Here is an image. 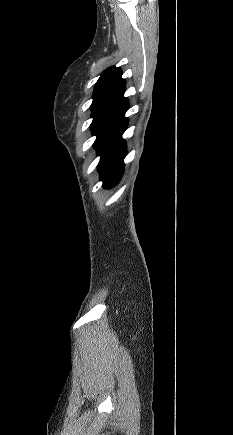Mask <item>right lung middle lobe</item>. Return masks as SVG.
Returning a JSON list of instances; mask_svg holds the SVG:
<instances>
[{
    "mask_svg": "<svg viewBox=\"0 0 233 435\" xmlns=\"http://www.w3.org/2000/svg\"><path fill=\"white\" fill-rule=\"evenodd\" d=\"M93 122L91 124L92 135H96L94 148H96L123 120L124 117L112 115L91 116Z\"/></svg>",
    "mask_w": 233,
    "mask_h": 435,
    "instance_id": "right-lung-middle-lobe-1",
    "label": "right lung middle lobe"
}]
</instances>
